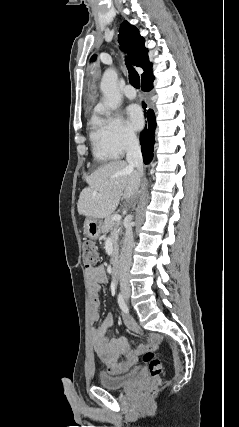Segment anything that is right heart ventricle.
Instances as JSON below:
<instances>
[{
    "instance_id": "right-heart-ventricle-1",
    "label": "right heart ventricle",
    "mask_w": 239,
    "mask_h": 427,
    "mask_svg": "<svg viewBox=\"0 0 239 427\" xmlns=\"http://www.w3.org/2000/svg\"><path fill=\"white\" fill-rule=\"evenodd\" d=\"M90 139L92 143L93 155L96 160L100 162H106L117 157V155L108 145L101 127L100 119L97 117H93L91 120Z\"/></svg>"
}]
</instances>
